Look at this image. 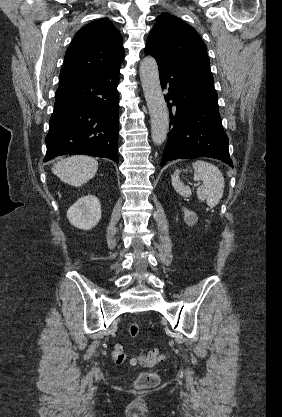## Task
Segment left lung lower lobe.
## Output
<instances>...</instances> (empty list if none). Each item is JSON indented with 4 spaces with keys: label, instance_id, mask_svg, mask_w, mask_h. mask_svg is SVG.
Masks as SVG:
<instances>
[{
    "label": "left lung lower lobe",
    "instance_id": "1",
    "mask_svg": "<svg viewBox=\"0 0 282 417\" xmlns=\"http://www.w3.org/2000/svg\"><path fill=\"white\" fill-rule=\"evenodd\" d=\"M145 54L156 58L161 87L169 91L165 99L171 129L161 166L176 159L211 157L233 167L210 66L182 61L169 63L147 49Z\"/></svg>",
    "mask_w": 282,
    "mask_h": 417
}]
</instances>
